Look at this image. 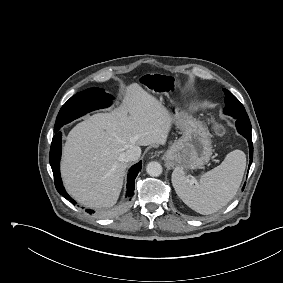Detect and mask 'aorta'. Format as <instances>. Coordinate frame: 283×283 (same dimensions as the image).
Instances as JSON below:
<instances>
[{"instance_id": "aorta-1", "label": "aorta", "mask_w": 283, "mask_h": 283, "mask_svg": "<svg viewBox=\"0 0 283 283\" xmlns=\"http://www.w3.org/2000/svg\"><path fill=\"white\" fill-rule=\"evenodd\" d=\"M146 171L150 176H160L162 174V166L160 163L156 162V161H152L150 163H148L147 167H146Z\"/></svg>"}]
</instances>
